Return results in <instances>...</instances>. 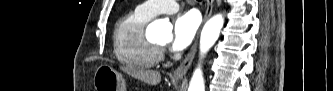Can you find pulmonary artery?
<instances>
[{"label": "pulmonary artery", "instance_id": "pulmonary-artery-1", "mask_svg": "<svg viewBox=\"0 0 333 91\" xmlns=\"http://www.w3.org/2000/svg\"><path fill=\"white\" fill-rule=\"evenodd\" d=\"M179 5L176 1H147L137 7V11L147 17L158 14H172L178 11Z\"/></svg>", "mask_w": 333, "mask_h": 91}]
</instances>
